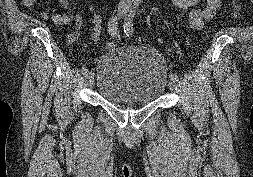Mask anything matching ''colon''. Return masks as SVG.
I'll list each match as a JSON object with an SVG mask.
<instances>
[{"mask_svg": "<svg viewBox=\"0 0 253 177\" xmlns=\"http://www.w3.org/2000/svg\"><path fill=\"white\" fill-rule=\"evenodd\" d=\"M234 3H235V12H234V15H235L236 17H241V16H242V13H243V7H242V5L240 4V2L237 1V0H235ZM105 45H106V48H107L109 51H112V50L115 49V43H114V41H113L112 39H108V40L106 41V44H105Z\"/></svg>", "mask_w": 253, "mask_h": 177, "instance_id": "colon-1", "label": "colon"}]
</instances>
